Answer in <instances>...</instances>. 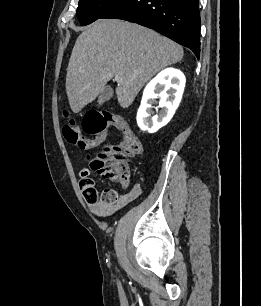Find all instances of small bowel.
Wrapping results in <instances>:
<instances>
[{
    "instance_id": "c3829d8e",
    "label": "small bowel",
    "mask_w": 261,
    "mask_h": 306,
    "mask_svg": "<svg viewBox=\"0 0 261 306\" xmlns=\"http://www.w3.org/2000/svg\"><path fill=\"white\" fill-rule=\"evenodd\" d=\"M100 144L99 141L94 143V147ZM87 169H81L80 174ZM142 193V189L140 185L135 184L131 187L127 192L117 195V199L115 202L111 204H105L102 202L90 204L91 211L100 217H109L113 215L116 211L124 208L129 203L137 199Z\"/></svg>"
}]
</instances>
